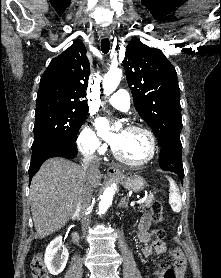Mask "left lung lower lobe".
Masks as SVG:
<instances>
[{"mask_svg": "<svg viewBox=\"0 0 221 278\" xmlns=\"http://www.w3.org/2000/svg\"><path fill=\"white\" fill-rule=\"evenodd\" d=\"M182 144L180 141H168L161 145L159 164L161 169L176 173L181 180L184 170L181 157Z\"/></svg>", "mask_w": 221, "mask_h": 278, "instance_id": "1", "label": "left lung lower lobe"}]
</instances>
